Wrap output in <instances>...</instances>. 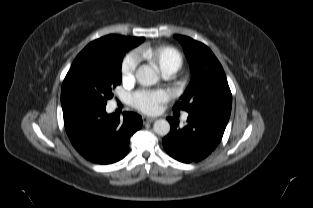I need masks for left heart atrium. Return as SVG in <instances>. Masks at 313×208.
<instances>
[{
	"mask_svg": "<svg viewBox=\"0 0 313 208\" xmlns=\"http://www.w3.org/2000/svg\"><path fill=\"white\" fill-rule=\"evenodd\" d=\"M166 99L167 95L165 92L148 90L137 91L131 97L133 106L147 114L158 113Z\"/></svg>",
	"mask_w": 313,
	"mask_h": 208,
	"instance_id": "1",
	"label": "left heart atrium"
}]
</instances>
